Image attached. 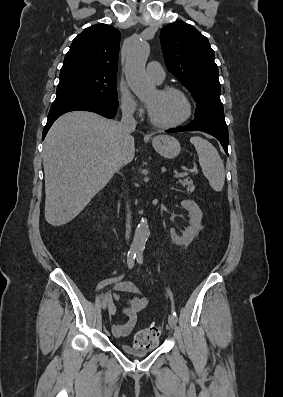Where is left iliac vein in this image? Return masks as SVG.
Here are the masks:
<instances>
[{
	"instance_id": "obj_1",
	"label": "left iliac vein",
	"mask_w": 283,
	"mask_h": 397,
	"mask_svg": "<svg viewBox=\"0 0 283 397\" xmlns=\"http://www.w3.org/2000/svg\"><path fill=\"white\" fill-rule=\"evenodd\" d=\"M168 323L172 329H175L177 320L173 314L168 316Z\"/></svg>"
}]
</instances>
